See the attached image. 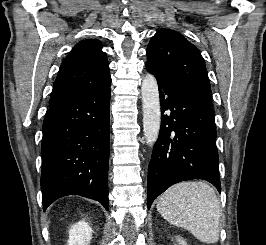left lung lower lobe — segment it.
Returning a JSON list of instances; mask_svg holds the SVG:
<instances>
[{"instance_id":"1","label":"left lung lower lobe","mask_w":266,"mask_h":245,"mask_svg":"<svg viewBox=\"0 0 266 245\" xmlns=\"http://www.w3.org/2000/svg\"><path fill=\"white\" fill-rule=\"evenodd\" d=\"M159 86L162 124L148 167L147 206L175 183L203 179L221 191L212 105L146 65ZM165 111L168 114L164 115Z\"/></svg>"}]
</instances>
